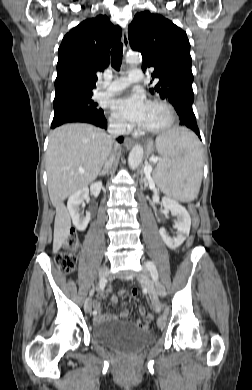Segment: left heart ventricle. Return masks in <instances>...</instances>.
<instances>
[{
    "label": "left heart ventricle",
    "mask_w": 252,
    "mask_h": 390,
    "mask_svg": "<svg viewBox=\"0 0 252 390\" xmlns=\"http://www.w3.org/2000/svg\"><path fill=\"white\" fill-rule=\"evenodd\" d=\"M168 119V113L164 107L158 104H148L146 116L142 123L143 128H156L163 125Z\"/></svg>",
    "instance_id": "left-heart-ventricle-1"
}]
</instances>
